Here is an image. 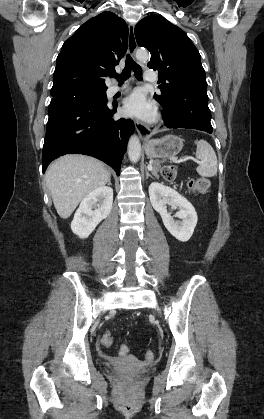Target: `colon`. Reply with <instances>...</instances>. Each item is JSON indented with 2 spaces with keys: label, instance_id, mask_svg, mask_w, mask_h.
Instances as JSON below:
<instances>
[{
  "label": "colon",
  "instance_id": "obj_1",
  "mask_svg": "<svg viewBox=\"0 0 264 419\" xmlns=\"http://www.w3.org/2000/svg\"><path fill=\"white\" fill-rule=\"evenodd\" d=\"M178 175V167L176 165H167L163 167L162 169V176L167 181L174 180ZM189 188L194 192H205L208 190L210 186V182L207 178L199 177L197 179H192L189 181ZM112 335L110 333H105L102 336V343L106 347H110L112 345ZM126 346V345H125ZM124 352L128 353V348L124 349ZM145 358L148 361H151L154 359V352L153 351H147L145 353Z\"/></svg>",
  "mask_w": 264,
  "mask_h": 419
}]
</instances>
